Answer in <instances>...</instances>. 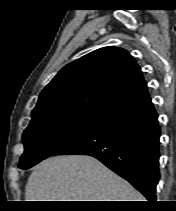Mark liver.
<instances>
[{"label": "liver", "mask_w": 176, "mask_h": 211, "mask_svg": "<svg viewBox=\"0 0 176 211\" xmlns=\"http://www.w3.org/2000/svg\"><path fill=\"white\" fill-rule=\"evenodd\" d=\"M25 201H143L126 180L90 156L50 157L28 178Z\"/></svg>", "instance_id": "6515ba94"}]
</instances>
